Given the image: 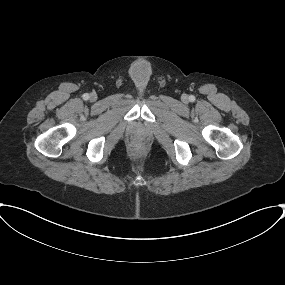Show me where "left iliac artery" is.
<instances>
[{
	"instance_id": "44dca946",
	"label": "left iliac artery",
	"mask_w": 285,
	"mask_h": 285,
	"mask_svg": "<svg viewBox=\"0 0 285 285\" xmlns=\"http://www.w3.org/2000/svg\"><path fill=\"white\" fill-rule=\"evenodd\" d=\"M189 100H190L191 102H193V101H195V97H194L193 95H191V96H189Z\"/></svg>"
}]
</instances>
